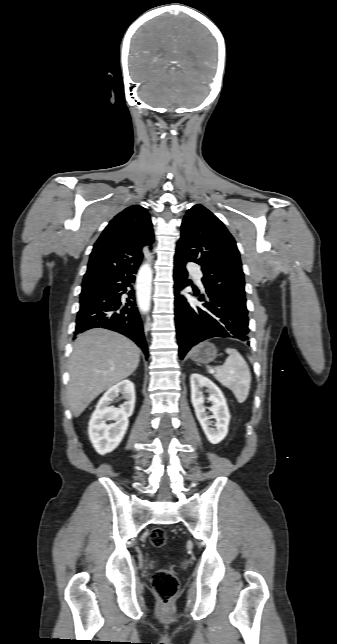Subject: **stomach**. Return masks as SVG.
<instances>
[{"label":"stomach","mask_w":337,"mask_h":644,"mask_svg":"<svg viewBox=\"0 0 337 644\" xmlns=\"http://www.w3.org/2000/svg\"><path fill=\"white\" fill-rule=\"evenodd\" d=\"M189 356L194 362L207 364L217 357V349L212 343L204 342L193 348Z\"/></svg>","instance_id":"stomach-1"}]
</instances>
